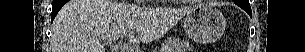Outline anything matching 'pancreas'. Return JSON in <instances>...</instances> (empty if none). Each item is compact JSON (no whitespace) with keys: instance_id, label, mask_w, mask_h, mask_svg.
<instances>
[{"instance_id":"pancreas-1","label":"pancreas","mask_w":305,"mask_h":52,"mask_svg":"<svg viewBox=\"0 0 305 52\" xmlns=\"http://www.w3.org/2000/svg\"><path fill=\"white\" fill-rule=\"evenodd\" d=\"M192 49L189 41L172 37L163 43L160 52H190Z\"/></svg>"}]
</instances>
